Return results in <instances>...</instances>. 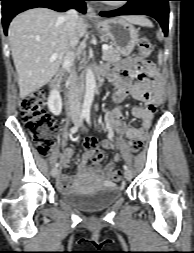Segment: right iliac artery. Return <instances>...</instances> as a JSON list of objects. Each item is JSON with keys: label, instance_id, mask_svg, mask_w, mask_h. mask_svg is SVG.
<instances>
[{"label": "right iliac artery", "instance_id": "82829eb1", "mask_svg": "<svg viewBox=\"0 0 194 253\" xmlns=\"http://www.w3.org/2000/svg\"><path fill=\"white\" fill-rule=\"evenodd\" d=\"M86 116H87V112L83 111L82 114L80 115V119H79L78 124H76L75 126H73L70 129L71 134H74L78 131L79 126L82 124V122L86 118ZM58 166H59V163H55V167L57 168Z\"/></svg>", "mask_w": 194, "mask_h": 253}]
</instances>
